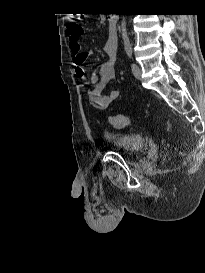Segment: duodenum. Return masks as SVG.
<instances>
[{"mask_svg": "<svg viewBox=\"0 0 205 273\" xmlns=\"http://www.w3.org/2000/svg\"><path fill=\"white\" fill-rule=\"evenodd\" d=\"M117 20H118V16L116 14H111L109 17H108V25L109 27L115 32L116 30V26H117ZM112 39L114 41H116V36L113 35L112 36Z\"/></svg>", "mask_w": 205, "mask_h": 273, "instance_id": "obj_1", "label": "duodenum"}]
</instances>
